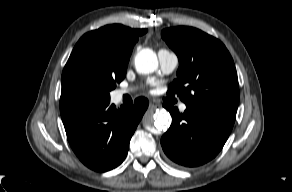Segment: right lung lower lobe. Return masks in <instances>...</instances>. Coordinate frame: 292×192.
Masks as SVG:
<instances>
[{
	"mask_svg": "<svg viewBox=\"0 0 292 192\" xmlns=\"http://www.w3.org/2000/svg\"><path fill=\"white\" fill-rule=\"evenodd\" d=\"M147 107L145 98L120 109L109 105V101H60L71 148L83 164L98 172L111 170L124 161L130 139Z\"/></svg>",
	"mask_w": 292,
	"mask_h": 192,
	"instance_id": "right-lung-lower-lobe-1",
	"label": "right lung lower lobe"
}]
</instances>
